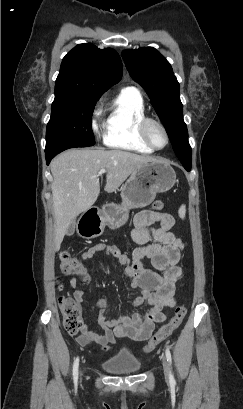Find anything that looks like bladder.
I'll return each mask as SVG.
<instances>
[{
    "label": "bladder",
    "mask_w": 243,
    "mask_h": 409,
    "mask_svg": "<svg viewBox=\"0 0 243 409\" xmlns=\"http://www.w3.org/2000/svg\"><path fill=\"white\" fill-rule=\"evenodd\" d=\"M103 367L108 373L114 375L134 374L141 370V364L133 359L107 361Z\"/></svg>",
    "instance_id": "31cf9c89"
}]
</instances>
